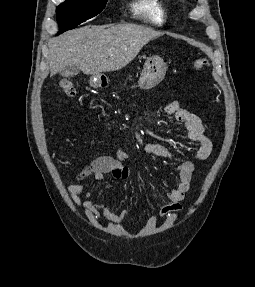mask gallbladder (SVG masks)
<instances>
[{"instance_id":"1","label":"gallbladder","mask_w":255,"mask_h":287,"mask_svg":"<svg viewBox=\"0 0 255 287\" xmlns=\"http://www.w3.org/2000/svg\"><path fill=\"white\" fill-rule=\"evenodd\" d=\"M79 72V66H67V68L59 70V74H61V76H76V74H79Z\"/></svg>"}]
</instances>
